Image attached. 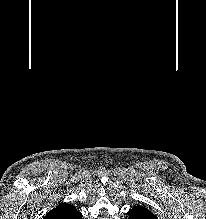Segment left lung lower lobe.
<instances>
[{"label": "left lung lower lobe", "mask_w": 206, "mask_h": 219, "mask_svg": "<svg viewBox=\"0 0 206 219\" xmlns=\"http://www.w3.org/2000/svg\"><path fill=\"white\" fill-rule=\"evenodd\" d=\"M128 213L129 219H158L151 211L142 206H135Z\"/></svg>", "instance_id": "left-lung-lower-lobe-1"}]
</instances>
